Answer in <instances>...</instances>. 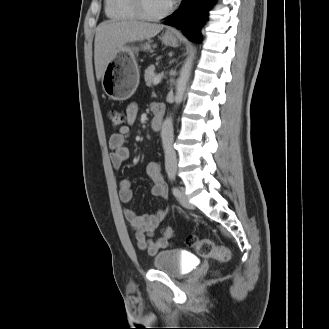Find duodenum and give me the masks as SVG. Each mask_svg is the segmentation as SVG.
Segmentation results:
<instances>
[{
	"label": "duodenum",
	"instance_id": "410a0bca",
	"mask_svg": "<svg viewBox=\"0 0 329 329\" xmlns=\"http://www.w3.org/2000/svg\"><path fill=\"white\" fill-rule=\"evenodd\" d=\"M164 118V108L159 105L153 106V118L151 120V127L154 131H159L162 128Z\"/></svg>",
	"mask_w": 329,
	"mask_h": 329
}]
</instances>
